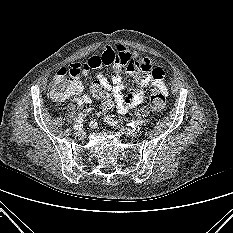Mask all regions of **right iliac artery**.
I'll list each match as a JSON object with an SVG mask.
<instances>
[{"instance_id":"right-iliac-artery-1","label":"right iliac artery","mask_w":233,"mask_h":233,"mask_svg":"<svg viewBox=\"0 0 233 233\" xmlns=\"http://www.w3.org/2000/svg\"><path fill=\"white\" fill-rule=\"evenodd\" d=\"M92 109H87V112L91 111ZM84 113H80L78 118L76 119V122L73 126L74 130H81L83 128V118H84Z\"/></svg>"}]
</instances>
